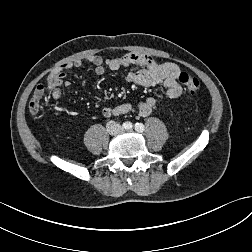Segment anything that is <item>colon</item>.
<instances>
[{
	"label": "colon",
	"mask_w": 252,
	"mask_h": 252,
	"mask_svg": "<svg viewBox=\"0 0 252 252\" xmlns=\"http://www.w3.org/2000/svg\"><path fill=\"white\" fill-rule=\"evenodd\" d=\"M178 81L185 87L190 94H195L200 88V82L196 76L190 73L182 72L178 75ZM44 86L38 85L35 89L33 99L29 104V111L32 115L38 113L40 108V99L43 96Z\"/></svg>",
	"instance_id": "1"
}]
</instances>
